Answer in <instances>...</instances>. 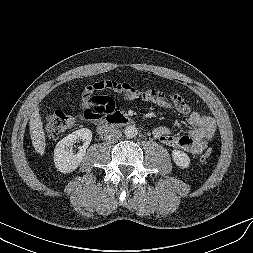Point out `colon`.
Returning <instances> with one entry per match:
<instances>
[{"label": "colon", "instance_id": "obj_1", "mask_svg": "<svg viewBox=\"0 0 253 253\" xmlns=\"http://www.w3.org/2000/svg\"><path fill=\"white\" fill-rule=\"evenodd\" d=\"M103 114H107L104 108H96L94 115H88L90 119H97ZM111 114H108L110 116ZM74 125V118L62 111H56L50 114L46 121V131L51 137H58L71 129ZM212 156V150H207L201 157L202 162H206Z\"/></svg>", "mask_w": 253, "mask_h": 253}]
</instances>
